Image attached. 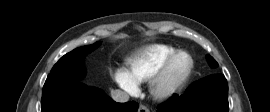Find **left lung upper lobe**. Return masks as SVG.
Returning <instances> with one entry per match:
<instances>
[{"mask_svg": "<svg viewBox=\"0 0 270 112\" xmlns=\"http://www.w3.org/2000/svg\"><path fill=\"white\" fill-rule=\"evenodd\" d=\"M207 61L212 68L218 67V63L210 55H207Z\"/></svg>", "mask_w": 270, "mask_h": 112, "instance_id": "left-lung-upper-lobe-1", "label": "left lung upper lobe"}]
</instances>
